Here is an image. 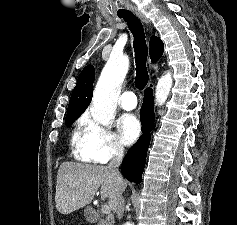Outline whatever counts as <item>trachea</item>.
Here are the masks:
<instances>
[{"mask_svg":"<svg viewBox=\"0 0 237 225\" xmlns=\"http://www.w3.org/2000/svg\"><path fill=\"white\" fill-rule=\"evenodd\" d=\"M123 18L134 36V52L136 63L135 85L139 90H142L148 83L149 75L146 67L148 48L145 39L143 26L132 12L119 16Z\"/></svg>","mask_w":237,"mask_h":225,"instance_id":"trachea-1","label":"trachea"}]
</instances>
